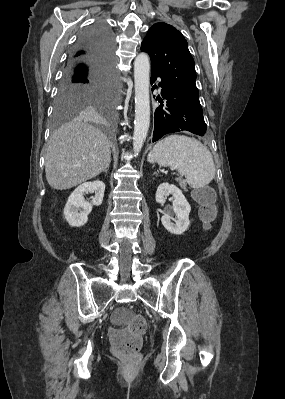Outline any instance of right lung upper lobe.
Instances as JSON below:
<instances>
[{
    "label": "right lung upper lobe",
    "instance_id": "1",
    "mask_svg": "<svg viewBox=\"0 0 285 399\" xmlns=\"http://www.w3.org/2000/svg\"><path fill=\"white\" fill-rule=\"evenodd\" d=\"M88 53V51H86L85 49H82V50H79L77 53H76V57H80V56H84V55H86Z\"/></svg>",
    "mask_w": 285,
    "mask_h": 399
}]
</instances>
